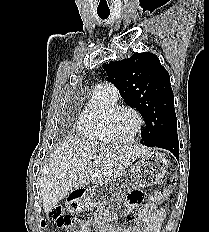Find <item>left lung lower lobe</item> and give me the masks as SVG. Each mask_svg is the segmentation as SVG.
Here are the masks:
<instances>
[{"label":"left lung lower lobe","mask_w":209,"mask_h":232,"mask_svg":"<svg viewBox=\"0 0 209 232\" xmlns=\"http://www.w3.org/2000/svg\"><path fill=\"white\" fill-rule=\"evenodd\" d=\"M155 147L163 148L169 150L174 154V156L178 159L179 156V142L177 131L170 132L162 136L158 142L155 144Z\"/></svg>","instance_id":"obj_1"}]
</instances>
